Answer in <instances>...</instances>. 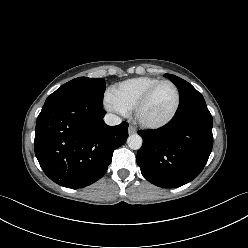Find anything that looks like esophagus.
Masks as SVG:
<instances>
[{"label":"esophagus","instance_id":"1","mask_svg":"<svg viewBox=\"0 0 248 248\" xmlns=\"http://www.w3.org/2000/svg\"><path fill=\"white\" fill-rule=\"evenodd\" d=\"M128 133H129V134H135V133H136V128H135V126L130 125V126L128 127Z\"/></svg>","mask_w":248,"mask_h":248}]
</instances>
